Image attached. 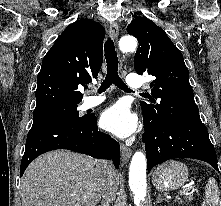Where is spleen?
<instances>
[{
    "mask_svg": "<svg viewBox=\"0 0 221 206\" xmlns=\"http://www.w3.org/2000/svg\"><path fill=\"white\" fill-rule=\"evenodd\" d=\"M205 196V200L201 206H221L218 185L214 178H210L208 180L205 189Z\"/></svg>",
    "mask_w": 221,
    "mask_h": 206,
    "instance_id": "obj_1",
    "label": "spleen"
}]
</instances>
